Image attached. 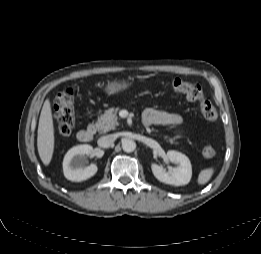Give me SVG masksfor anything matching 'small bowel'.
<instances>
[{
  "label": "small bowel",
  "instance_id": "obj_1",
  "mask_svg": "<svg viewBox=\"0 0 261 254\" xmlns=\"http://www.w3.org/2000/svg\"><path fill=\"white\" fill-rule=\"evenodd\" d=\"M143 123L149 125L177 126L182 122L181 116L158 109L149 108L143 113Z\"/></svg>",
  "mask_w": 261,
  "mask_h": 254
}]
</instances>
